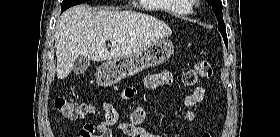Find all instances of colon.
<instances>
[{"instance_id":"1","label":"colon","mask_w":280,"mask_h":137,"mask_svg":"<svg viewBox=\"0 0 280 137\" xmlns=\"http://www.w3.org/2000/svg\"><path fill=\"white\" fill-rule=\"evenodd\" d=\"M213 69L208 61H200L188 69L182 76V83L185 86H195L201 79L212 76ZM125 98H131L129 91L124 93ZM60 115L70 120H82L93 112V107L87 103H78L64 98H58L54 103ZM209 137V135H205Z\"/></svg>"}]
</instances>
